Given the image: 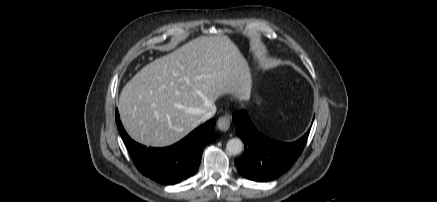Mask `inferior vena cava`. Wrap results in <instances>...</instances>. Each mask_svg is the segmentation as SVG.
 Instances as JSON below:
<instances>
[{
  "label": "inferior vena cava",
  "instance_id": "1",
  "mask_svg": "<svg viewBox=\"0 0 437 202\" xmlns=\"http://www.w3.org/2000/svg\"><path fill=\"white\" fill-rule=\"evenodd\" d=\"M215 112H216V106L211 105L210 107H208L206 110L203 111L202 115L200 116L199 122L201 123L209 120L214 116Z\"/></svg>",
  "mask_w": 437,
  "mask_h": 202
}]
</instances>
